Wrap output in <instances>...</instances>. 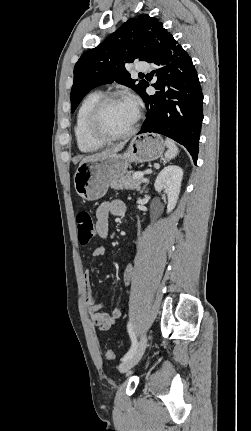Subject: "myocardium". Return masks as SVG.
I'll use <instances>...</instances> for the list:
<instances>
[{
    "label": "myocardium",
    "mask_w": 251,
    "mask_h": 431,
    "mask_svg": "<svg viewBox=\"0 0 251 431\" xmlns=\"http://www.w3.org/2000/svg\"><path fill=\"white\" fill-rule=\"evenodd\" d=\"M120 100H126V97L117 93H110L103 95L92 107L87 118V132L92 139L98 142L108 143L128 138L136 132L142 117L139 108H137V114L133 125L127 131L120 134H109L102 130L100 120L104 109L110 103Z\"/></svg>",
    "instance_id": "obj_1"
}]
</instances>
